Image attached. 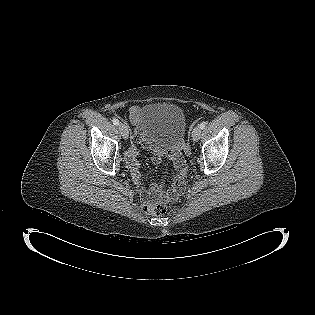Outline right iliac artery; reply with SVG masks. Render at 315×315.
I'll list each match as a JSON object with an SVG mask.
<instances>
[{
    "label": "right iliac artery",
    "instance_id": "82829eb1",
    "mask_svg": "<svg viewBox=\"0 0 315 315\" xmlns=\"http://www.w3.org/2000/svg\"><path fill=\"white\" fill-rule=\"evenodd\" d=\"M112 122H113V124L116 125V126L119 125V120H118V119H115V118H114V119L112 120Z\"/></svg>",
    "mask_w": 315,
    "mask_h": 315
}]
</instances>
